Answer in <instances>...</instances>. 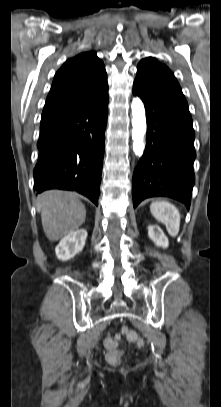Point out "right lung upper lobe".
Instances as JSON below:
<instances>
[{
    "label": "right lung upper lobe",
    "mask_w": 221,
    "mask_h": 407,
    "mask_svg": "<svg viewBox=\"0 0 221 407\" xmlns=\"http://www.w3.org/2000/svg\"><path fill=\"white\" fill-rule=\"evenodd\" d=\"M108 92L107 73L96 53L84 52L57 71L42 115L88 103Z\"/></svg>",
    "instance_id": "obj_1"
}]
</instances>
